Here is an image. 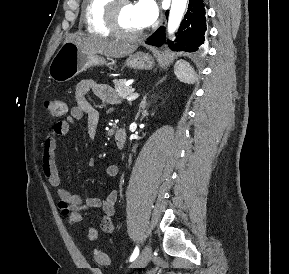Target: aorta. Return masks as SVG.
Returning a JSON list of instances; mask_svg holds the SVG:
<instances>
[{"label": "aorta", "mask_w": 289, "mask_h": 274, "mask_svg": "<svg viewBox=\"0 0 289 274\" xmlns=\"http://www.w3.org/2000/svg\"><path fill=\"white\" fill-rule=\"evenodd\" d=\"M188 0H172L169 20H168V32L170 34L174 33L179 27Z\"/></svg>", "instance_id": "762f6f07"}]
</instances>
